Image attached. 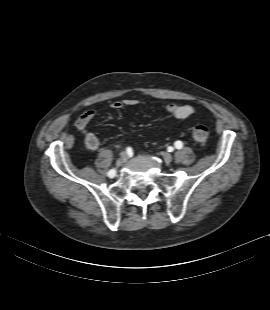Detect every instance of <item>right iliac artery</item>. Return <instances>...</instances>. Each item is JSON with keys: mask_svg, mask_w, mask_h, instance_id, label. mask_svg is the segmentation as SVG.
Instances as JSON below:
<instances>
[{"mask_svg": "<svg viewBox=\"0 0 270 310\" xmlns=\"http://www.w3.org/2000/svg\"><path fill=\"white\" fill-rule=\"evenodd\" d=\"M115 174H116V171H115L114 169H111V170L108 172V176H109L110 178H113V177L115 176Z\"/></svg>", "mask_w": 270, "mask_h": 310, "instance_id": "right-iliac-artery-1", "label": "right iliac artery"}]
</instances>
